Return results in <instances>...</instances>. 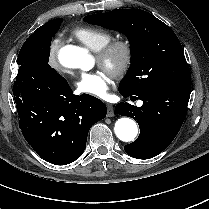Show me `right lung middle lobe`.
<instances>
[{
	"mask_svg": "<svg viewBox=\"0 0 209 209\" xmlns=\"http://www.w3.org/2000/svg\"><path fill=\"white\" fill-rule=\"evenodd\" d=\"M62 18L54 19L44 29H37L24 42L17 59L19 68L26 66L52 71L48 64L52 37L58 31Z\"/></svg>",
	"mask_w": 209,
	"mask_h": 209,
	"instance_id": "obj_1",
	"label": "right lung middle lobe"
}]
</instances>
